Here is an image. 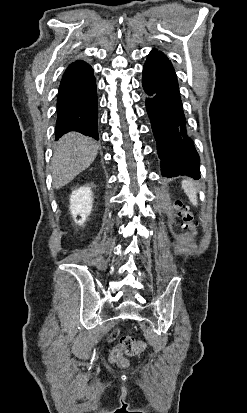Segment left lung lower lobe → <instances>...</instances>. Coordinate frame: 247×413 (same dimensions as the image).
<instances>
[{"instance_id":"1","label":"left lung lower lobe","mask_w":247,"mask_h":413,"mask_svg":"<svg viewBox=\"0 0 247 413\" xmlns=\"http://www.w3.org/2000/svg\"><path fill=\"white\" fill-rule=\"evenodd\" d=\"M146 110L157 142L162 176L200 178L199 155L186 133L177 77L169 59L152 50L143 68Z\"/></svg>"}]
</instances>
